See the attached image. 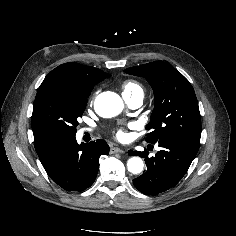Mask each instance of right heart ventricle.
I'll use <instances>...</instances> for the list:
<instances>
[{
	"label": "right heart ventricle",
	"instance_id": "e07e8e85",
	"mask_svg": "<svg viewBox=\"0 0 236 236\" xmlns=\"http://www.w3.org/2000/svg\"><path fill=\"white\" fill-rule=\"evenodd\" d=\"M122 91H123V96H128V97L144 94V89L142 85L136 80H126L122 84Z\"/></svg>",
	"mask_w": 236,
	"mask_h": 236
}]
</instances>
